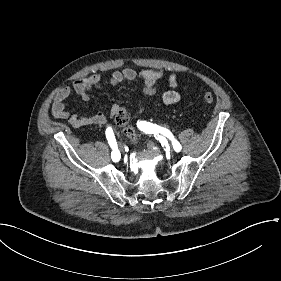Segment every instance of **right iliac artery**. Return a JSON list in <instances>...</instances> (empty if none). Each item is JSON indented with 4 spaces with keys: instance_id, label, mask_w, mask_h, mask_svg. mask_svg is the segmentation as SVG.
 Returning <instances> with one entry per match:
<instances>
[{
    "instance_id": "1",
    "label": "right iliac artery",
    "mask_w": 281,
    "mask_h": 281,
    "mask_svg": "<svg viewBox=\"0 0 281 281\" xmlns=\"http://www.w3.org/2000/svg\"><path fill=\"white\" fill-rule=\"evenodd\" d=\"M106 137L108 140L109 145L111 146V148L113 149L112 153H111V158L114 162L119 161L120 159V152L117 149V143L114 137V133L111 127H108L106 129Z\"/></svg>"
}]
</instances>
